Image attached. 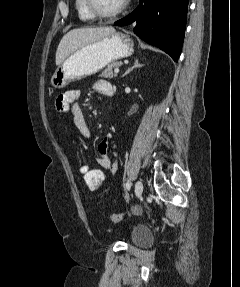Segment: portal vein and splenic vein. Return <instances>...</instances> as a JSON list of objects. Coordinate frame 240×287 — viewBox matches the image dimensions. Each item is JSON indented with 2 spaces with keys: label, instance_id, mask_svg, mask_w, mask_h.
Returning a JSON list of instances; mask_svg holds the SVG:
<instances>
[{
  "label": "portal vein and splenic vein",
  "instance_id": "1",
  "mask_svg": "<svg viewBox=\"0 0 240 287\" xmlns=\"http://www.w3.org/2000/svg\"><path fill=\"white\" fill-rule=\"evenodd\" d=\"M114 72H115V73H118V72H119V69H118V68H116V69L114 70Z\"/></svg>",
  "mask_w": 240,
  "mask_h": 287
}]
</instances>
